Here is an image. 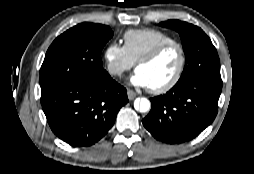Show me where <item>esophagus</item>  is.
Returning <instances> with one entry per match:
<instances>
[{
    "instance_id": "1",
    "label": "esophagus",
    "mask_w": 254,
    "mask_h": 174,
    "mask_svg": "<svg viewBox=\"0 0 254 174\" xmlns=\"http://www.w3.org/2000/svg\"><path fill=\"white\" fill-rule=\"evenodd\" d=\"M127 95H128V99H129V100H133V99H135L136 96H137V94H136L134 91H132V90H128V91H127Z\"/></svg>"
}]
</instances>
